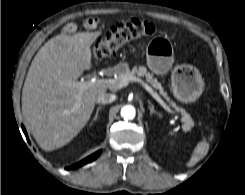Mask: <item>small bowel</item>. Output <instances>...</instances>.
<instances>
[{
  "label": "small bowel",
  "instance_id": "c3829d8e",
  "mask_svg": "<svg viewBox=\"0 0 245 195\" xmlns=\"http://www.w3.org/2000/svg\"><path fill=\"white\" fill-rule=\"evenodd\" d=\"M84 26L87 29H95L98 26V20L96 18H87L84 21ZM77 30V26L74 23H68L64 27V32L66 34H72Z\"/></svg>",
  "mask_w": 245,
  "mask_h": 195
}]
</instances>
